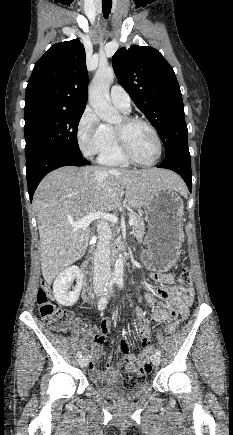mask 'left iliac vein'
Here are the masks:
<instances>
[{
	"mask_svg": "<svg viewBox=\"0 0 233 435\" xmlns=\"http://www.w3.org/2000/svg\"><path fill=\"white\" fill-rule=\"evenodd\" d=\"M151 362H152L154 365L158 366V365L160 364V355L153 354V355L151 356Z\"/></svg>",
	"mask_w": 233,
	"mask_h": 435,
	"instance_id": "4c4485c4",
	"label": "left iliac vein"
}]
</instances>
